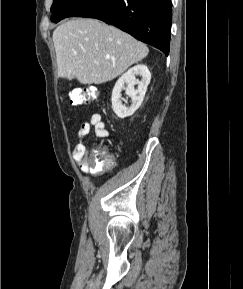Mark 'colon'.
Segmentation results:
<instances>
[{
    "mask_svg": "<svg viewBox=\"0 0 243 289\" xmlns=\"http://www.w3.org/2000/svg\"><path fill=\"white\" fill-rule=\"evenodd\" d=\"M98 96L99 93L95 88H76L68 93L69 101L74 106L89 103L96 100ZM87 162L94 172H104L114 165V158L105 149H97L88 156Z\"/></svg>",
    "mask_w": 243,
    "mask_h": 289,
    "instance_id": "colon-1",
    "label": "colon"
}]
</instances>
